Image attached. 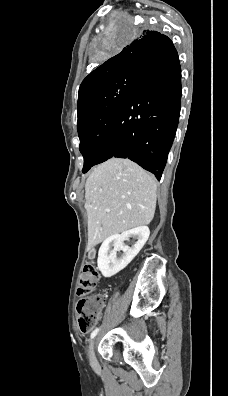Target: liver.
Segmentation results:
<instances>
[{"mask_svg": "<svg viewBox=\"0 0 228 396\" xmlns=\"http://www.w3.org/2000/svg\"><path fill=\"white\" fill-rule=\"evenodd\" d=\"M156 181L129 159L94 168L85 185L90 248L109 236L148 225L156 208Z\"/></svg>", "mask_w": 228, "mask_h": 396, "instance_id": "6515ba94", "label": "liver"}]
</instances>
